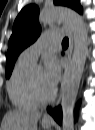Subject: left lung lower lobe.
<instances>
[{"label":"left lung lower lobe","mask_w":95,"mask_h":130,"mask_svg":"<svg viewBox=\"0 0 95 130\" xmlns=\"http://www.w3.org/2000/svg\"><path fill=\"white\" fill-rule=\"evenodd\" d=\"M48 112L53 116V118L55 119L57 123L59 124L62 123V111L60 107L54 110H52L51 108H48Z\"/></svg>","instance_id":"1"}]
</instances>
